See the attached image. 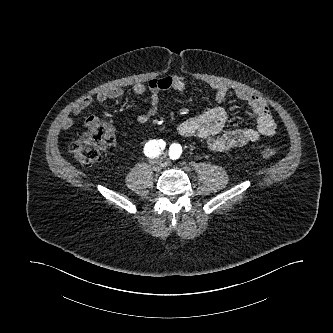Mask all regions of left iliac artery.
Segmentation results:
<instances>
[{
  "label": "left iliac artery",
  "mask_w": 333,
  "mask_h": 333,
  "mask_svg": "<svg viewBox=\"0 0 333 333\" xmlns=\"http://www.w3.org/2000/svg\"><path fill=\"white\" fill-rule=\"evenodd\" d=\"M182 153V148L178 144H172L169 148V156L171 159H177Z\"/></svg>",
  "instance_id": "44dca946"
}]
</instances>
